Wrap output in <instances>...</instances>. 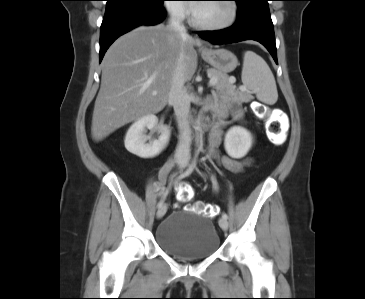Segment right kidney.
Instances as JSON below:
<instances>
[{"instance_id": "ca27d5eb", "label": "right kidney", "mask_w": 365, "mask_h": 299, "mask_svg": "<svg viewBox=\"0 0 365 299\" xmlns=\"http://www.w3.org/2000/svg\"><path fill=\"white\" fill-rule=\"evenodd\" d=\"M157 123L158 119L155 115H146L135 121L126 133L125 148L141 158H152L158 155L169 142V127L163 126L158 140H149V143H146L149 138L144 135L145 128L152 130Z\"/></svg>"}]
</instances>
